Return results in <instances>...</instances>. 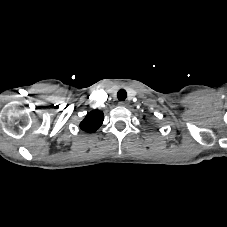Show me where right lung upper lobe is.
<instances>
[{
	"instance_id": "right-lung-upper-lobe-1",
	"label": "right lung upper lobe",
	"mask_w": 227,
	"mask_h": 227,
	"mask_svg": "<svg viewBox=\"0 0 227 227\" xmlns=\"http://www.w3.org/2000/svg\"><path fill=\"white\" fill-rule=\"evenodd\" d=\"M103 123V112L93 110L89 112L80 123V128L88 133L95 132Z\"/></svg>"
}]
</instances>
